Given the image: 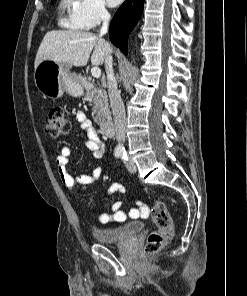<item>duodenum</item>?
<instances>
[{"label":"duodenum","mask_w":247,"mask_h":296,"mask_svg":"<svg viewBox=\"0 0 247 296\" xmlns=\"http://www.w3.org/2000/svg\"><path fill=\"white\" fill-rule=\"evenodd\" d=\"M100 129L102 133L108 137L113 136L114 134V122L112 119H104L100 122Z\"/></svg>","instance_id":"410a0bca"}]
</instances>
